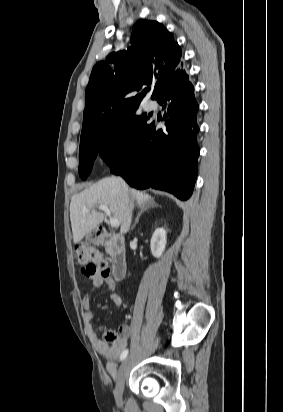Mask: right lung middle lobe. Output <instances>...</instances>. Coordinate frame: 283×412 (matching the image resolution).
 <instances>
[{"mask_svg": "<svg viewBox=\"0 0 283 412\" xmlns=\"http://www.w3.org/2000/svg\"><path fill=\"white\" fill-rule=\"evenodd\" d=\"M137 109L114 128L80 139L79 175L83 180L90 174L98 153L108 164L121 160L128 153L149 119L146 114L136 115Z\"/></svg>", "mask_w": 283, "mask_h": 412, "instance_id": "dd1d6c3e", "label": "right lung middle lobe"}]
</instances>
